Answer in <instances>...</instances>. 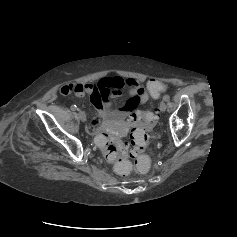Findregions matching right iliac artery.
<instances>
[{"instance_id":"82829eb1","label":"right iliac artery","mask_w":237,"mask_h":237,"mask_svg":"<svg viewBox=\"0 0 237 237\" xmlns=\"http://www.w3.org/2000/svg\"><path fill=\"white\" fill-rule=\"evenodd\" d=\"M70 108H71L72 111L78 110L76 105H72Z\"/></svg>"}]
</instances>
